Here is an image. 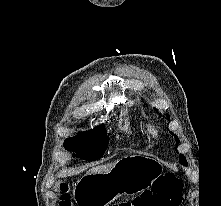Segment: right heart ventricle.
I'll return each instance as SVG.
<instances>
[{
	"instance_id": "right-heart-ventricle-1",
	"label": "right heart ventricle",
	"mask_w": 221,
	"mask_h": 206,
	"mask_svg": "<svg viewBox=\"0 0 221 206\" xmlns=\"http://www.w3.org/2000/svg\"><path fill=\"white\" fill-rule=\"evenodd\" d=\"M126 124L128 125V122H126ZM144 129H146L148 131V126H144Z\"/></svg>"
}]
</instances>
